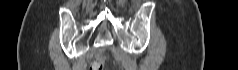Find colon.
<instances>
[{"label":"colon","mask_w":238,"mask_h":70,"mask_svg":"<svg viewBox=\"0 0 238 70\" xmlns=\"http://www.w3.org/2000/svg\"><path fill=\"white\" fill-rule=\"evenodd\" d=\"M104 60L102 57H97L90 66V70H103Z\"/></svg>","instance_id":"colon-1"}]
</instances>
